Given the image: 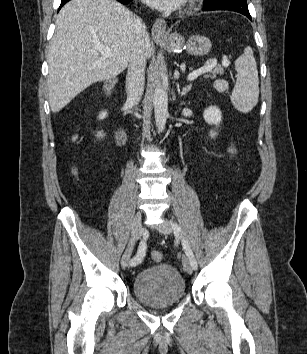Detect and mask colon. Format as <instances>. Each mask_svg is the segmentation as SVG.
<instances>
[{"label":"colon","instance_id":"colon-1","mask_svg":"<svg viewBox=\"0 0 307 354\" xmlns=\"http://www.w3.org/2000/svg\"><path fill=\"white\" fill-rule=\"evenodd\" d=\"M151 258L155 262H160L162 260V254L159 251H153L151 253Z\"/></svg>","mask_w":307,"mask_h":354}]
</instances>
